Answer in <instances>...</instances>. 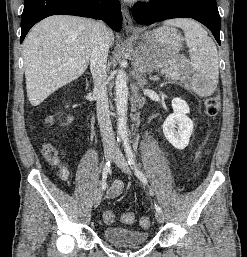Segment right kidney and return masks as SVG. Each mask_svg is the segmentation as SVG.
<instances>
[{"label": "right kidney", "mask_w": 247, "mask_h": 257, "mask_svg": "<svg viewBox=\"0 0 247 257\" xmlns=\"http://www.w3.org/2000/svg\"><path fill=\"white\" fill-rule=\"evenodd\" d=\"M69 122H71L72 121V118H69V120H68Z\"/></svg>", "instance_id": "obj_1"}]
</instances>
